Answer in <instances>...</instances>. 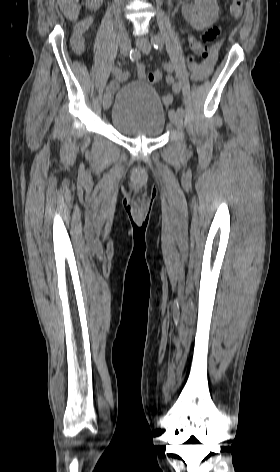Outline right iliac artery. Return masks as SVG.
<instances>
[{
    "label": "right iliac artery",
    "instance_id": "obj_1",
    "mask_svg": "<svg viewBox=\"0 0 280 472\" xmlns=\"http://www.w3.org/2000/svg\"><path fill=\"white\" fill-rule=\"evenodd\" d=\"M129 57L132 62H135L141 58V54L137 49H131ZM112 74L116 79H120L123 77V71L119 67H114L112 69Z\"/></svg>",
    "mask_w": 280,
    "mask_h": 472
}]
</instances>
